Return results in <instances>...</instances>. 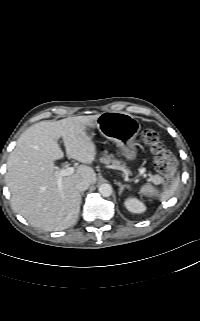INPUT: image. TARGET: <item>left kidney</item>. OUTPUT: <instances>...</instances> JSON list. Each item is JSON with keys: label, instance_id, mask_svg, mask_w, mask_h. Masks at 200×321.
I'll return each mask as SVG.
<instances>
[{"label": "left kidney", "instance_id": "1", "mask_svg": "<svg viewBox=\"0 0 200 321\" xmlns=\"http://www.w3.org/2000/svg\"><path fill=\"white\" fill-rule=\"evenodd\" d=\"M124 205L132 213H143L146 210L145 205L136 198L126 199Z\"/></svg>", "mask_w": 200, "mask_h": 321}]
</instances>
